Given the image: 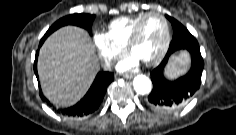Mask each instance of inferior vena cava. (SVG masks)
Returning a JSON list of instances; mask_svg holds the SVG:
<instances>
[{
	"label": "inferior vena cava",
	"instance_id": "1",
	"mask_svg": "<svg viewBox=\"0 0 236 135\" xmlns=\"http://www.w3.org/2000/svg\"><path fill=\"white\" fill-rule=\"evenodd\" d=\"M104 67H105V68H109V67H110V62H105Z\"/></svg>",
	"mask_w": 236,
	"mask_h": 135
}]
</instances>
